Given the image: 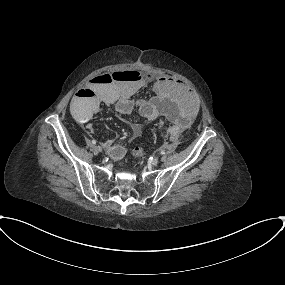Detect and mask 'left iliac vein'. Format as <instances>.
<instances>
[{
  "label": "left iliac vein",
  "instance_id": "1",
  "mask_svg": "<svg viewBox=\"0 0 285 285\" xmlns=\"http://www.w3.org/2000/svg\"><path fill=\"white\" fill-rule=\"evenodd\" d=\"M159 163V160L157 158H154L152 161H151V164L153 166H156L157 164Z\"/></svg>",
  "mask_w": 285,
  "mask_h": 285
}]
</instances>
